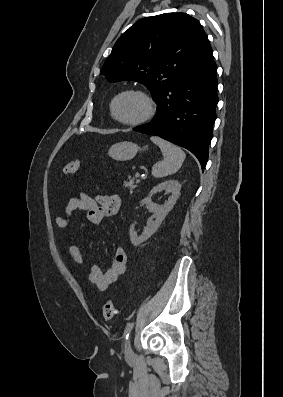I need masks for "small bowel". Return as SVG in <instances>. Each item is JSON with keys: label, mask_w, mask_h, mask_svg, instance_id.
<instances>
[{"label": "small bowel", "mask_w": 283, "mask_h": 397, "mask_svg": "<svg viewBox=\"0 0 283 397\" xmlns=\"http://www.w3.org/2000/svg\"><path fill=\"white\" fill-rule=\"evenodd\" d=\"M121 207V198L118 195H101L92 198L84 192L73 194L65 208L63 215H57L55 223L59 228H67L71 223L72 215L78 210L87 212V220L91 224L99 225L106 217L118 213ZM69 254L74 262L83 263V255L80 247L72 243L69 247ZM127 264V254L123 247L119 246L115 250L114 258L109 268L105 271L97 264H92L88 269V280L99 290L104 291L113 284L119 276L125 273Z\"/></svg>", "instance_id": "small-bowel-1"}]
</instances>
